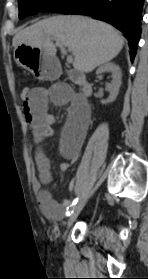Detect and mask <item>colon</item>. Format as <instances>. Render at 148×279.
<instances>
[{"label":"colon","instance_id":"colon-1","mask_svg":"<svg viewBox=\"0 0 148 279\" xmlns=\"http://www.w3.org/2000/svg\"><path fill=\"white\" fill-rule=\"evenodd\" d=\"M20 94L23 102H27L31 98V90L28 87L22 88Z\"/></svg>","mask_w":148,"mask_h":279}]
</instances>
